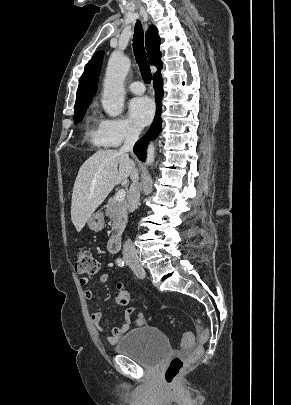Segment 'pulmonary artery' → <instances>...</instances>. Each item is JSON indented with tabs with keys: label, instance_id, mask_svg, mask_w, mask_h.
I'll return each mask as SVG.
<instances>
[{
	"label": "pulmonary artery",
	"instance_id": "e3ab8cb5",
	"mask_svg": "<svg viewBox=\"0 0 291 405\" xmlns=\"http://www.w3.org/2000/svg\"><path fill=\"white\" fill-rule=\"evenodd\" d=\"M129 89L135 94H142L145 91V86L140 81H134L129 84Z\"/></svg>",
	"mask_w": 291,
	"mask_h": 405
}]
</instances>
